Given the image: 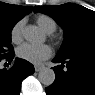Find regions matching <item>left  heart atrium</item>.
Masks as SVG:
<instances>
[{"mask_svg":"<svg viewBox=\"0 0 95 95\" xmlns=\"http://www.w3.org/2000/svg\"><path fill=\"white\" fill-rule=\"evenodd\" d=\"M51 48L48 45H32L25 43L18 47L17 56L27 62L39 64L51 56Z\"/></svg>","mask_w":95,"mask_h":95,"instance_id":"1","label":"left heart atrium"}]
</instances>
